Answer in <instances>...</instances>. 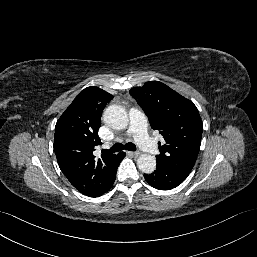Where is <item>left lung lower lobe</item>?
I'll return each mask as SVG.
<instances>
[{"label": "left lung lower lobe", "instance_id": "0a47b994", "mask_svg": "<svg viewBox=\"0 0 257 257\" xmlns=\"http://www.w3.org/2000/svg\"><path fill=\"white\" fill-rule=\"evenodd\" d=\"M144 177L154 188L159 190H170L180 185L187 176L166 165L157 163L156 170L151 174H144Z\"/></svg>", "mask_w": 257, "mask_h": 257}]
</instances>
